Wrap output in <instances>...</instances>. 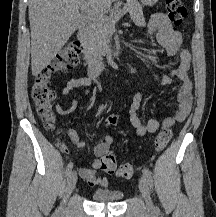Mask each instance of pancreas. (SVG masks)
Returning a JSON list of instances; mask_svg holds the SVG:
<instances>
[{
	"mask_svg": "<svg viewBox=\"0 0 216 217\" xmlns=\"http://www.w3.org/2000/svg\"><path fill=\"white\" fill-rule=\"evenodd\" d=\"M124 6L128 8L130 16L137 26H145L142 7L137 0H127ZM118 12L119 9L115 8L108 16H103V19L99 21H92L87 27V46L96 57L106 54L109 43L108 37L110 30L114 27L115 16Z\"/></svg>",
	"mask_w": 216,
	"mask_h": 217,
	"instance_id": "obj_1",
	"label": "pancreas"
}]
</instances>
